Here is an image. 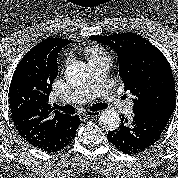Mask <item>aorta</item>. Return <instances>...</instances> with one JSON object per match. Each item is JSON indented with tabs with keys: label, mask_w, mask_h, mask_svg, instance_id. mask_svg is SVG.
Instances as JSON below:
<instances>
[{
	"label": "aorta",
	"mask_w": 178,
	"mask_h": 178,
	"mask_svg": "<svg viewBox=\"0 0 178 178\" xmlns=\"http://www.w3.org/2000/svg\"><path fill=\"white\" fill-rule=\"evenodd\" d=\"M89 72L83 62H72L65 71V79L73 87L86 83ZM99 123L106 130H115L119 127L120 117L116 110L107 108L100 113Z\"/></svg>",
	"instance_id": "1"
}]
</instances>
